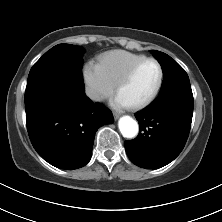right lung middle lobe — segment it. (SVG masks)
<instances>
[{"label": "right lung middle lobe", "instance_id": "obj_1", "mask_svg": "<svg viewBox=\"0 0 222 222\" xmlns=\"http://www.w3.org/2000/svg\"><path fill=\"white\" fill-rule=\"evenodd\" d=\"M81 46L59 44L47 51L31 68L25 106L37 102L72 104L85 93Z\"/></svg>", "mask_w": 222, "mask_h": 222}]
</instances>
